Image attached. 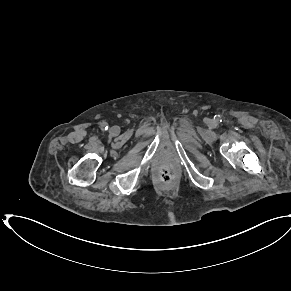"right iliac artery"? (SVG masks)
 Returning a JSON list of instances; mask_svg holds the SVG:
<instances>
[{
    "label": "right iliac artery",
    "instance_id": "obj_1",
    "mask_svg": "<svg viewBox=\"0 0 291 291\" xmlns=\"http://www.w3.org/2000/svg\"><path fill=\"white\" fill-rule=\"evenodd\" d=\"M101 127H102V129H105V130L108 129V125H107L106 122H103V123L101 124Z\"/></svg>",
    "mask_w": 291,
    "mask_h": 291
}]
</instances>
